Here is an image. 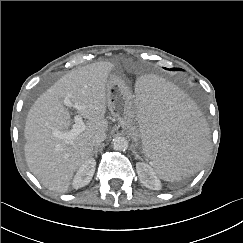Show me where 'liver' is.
Returning <instances> with one entry per match:
<instances>
[{
    "mask_svg": "<svg viewBox=\"0 0 243 243\" xmlns=\"http://www.w3.org/2000/svg\"><path fill=\"white\" fill-rule=\"evenodd\" d=\"M114 65L98 62L73 70L44 92L29 110L24 135L25 158L32 174L49 190L65 193L74 173L93 152L91 139L108 130L105 119L107 83ZM68 98L79 115L87 119L85 130L71 142L54 136L66 133L70 112L64 106Z\"/></svg>",
    "mask_w": 243,
    "mask_h": 243,
    "instance_id": "liver-1",
    "label": "liver"
}]
</instances>
